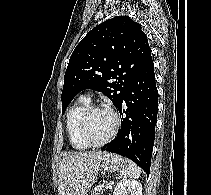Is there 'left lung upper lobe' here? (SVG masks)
Segmentation results:
<instances>
[{
  "instance_id": "1",
  "label": "left lung upper lobe",
  "mask_w": 211,
  "mask_h": 195,
  "mask_svg": "<svg viewBox=\"0 0 211 195\" xmlns=\"http://www.w3.org/2000/svg\"><path fill=\"white\" fill-rule=\"evenodd\" d=\"M149 60L147 36L130 17L116 16L94 27L70 57L61 95L62 114L84 89L102 92L118 108Z\"/></svg>"
}]
</instances>
